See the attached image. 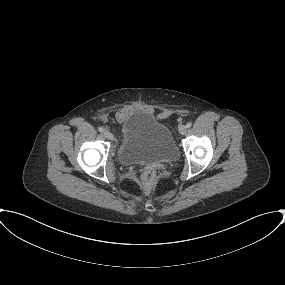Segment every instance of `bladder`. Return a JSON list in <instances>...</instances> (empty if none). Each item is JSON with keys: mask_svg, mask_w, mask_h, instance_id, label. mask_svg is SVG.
I'll return each mask as SVG.
<instances>
[{"mask_svg": "<svg viewBox=\"0 0 285 285\" xmlns=\"http://www.w3.org/2000/svg\"><path fill=\"white\" fill-rule=\"evenodd\" d=\"M178 156L171 130L153 114L137 110L124 120L119 150L122 163H171Z\"/></svg>", "mask_w": 285, "mask_h": 285, "instance_id": "1", "label": "bladder"}]
</instances>
